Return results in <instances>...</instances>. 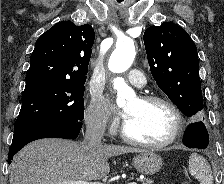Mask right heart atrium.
<instances>
[{"label":"right heart atrium","mask_w":224,"mask_h":184,"mask_svg":"<svg viewBox=\"0 0 224 184\" xmlns=\"http://www.w3.org/2000/svg\"><path fill=\"white\" fill-rule=\"evenodd\" d=\"M84 120L90 129L99 133L113 129L116 126V121L110 120L107 100L99 92L92 94L85 110Z\"/></svg>","instance_id":"1"}]
</instances>
